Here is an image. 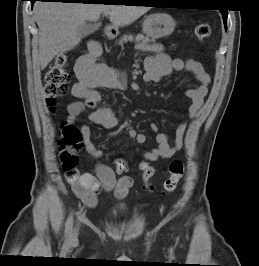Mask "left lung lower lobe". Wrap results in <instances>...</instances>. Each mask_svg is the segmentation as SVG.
I'll list each match as a JSON object with an SVG mask.
<instances>
[{
	"mask_svg": "<svg viewBox=\"0 0 259 266\" xmlns=\"http://www.w3.org/2000/svg\"><path fill=\"white\" fill-rule=\"evenodd\" d=\"M220 11L222 12L223 15L225 29H227V10H220Z\"/></svg>",
	"mask_w": 259,
	"mask_h": 266,
	"instance_id": "left-lung-lower-lobe-1",
	"label": "left lung lower lobe"
}]
</instances>
